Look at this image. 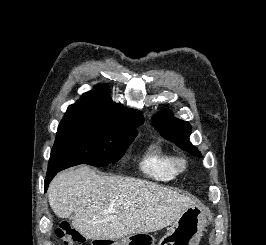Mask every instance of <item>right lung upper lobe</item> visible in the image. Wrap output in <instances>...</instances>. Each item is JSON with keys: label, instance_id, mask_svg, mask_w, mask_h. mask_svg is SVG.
<instances>
[{"label": "right lung upper lobe", "instance_id": "right-lung-upper-lobe-1", "mask_svg": "<svg viewBox=\"0 0 266 245\" xmlns=\"http://www.w3.org/2000/svg\"><path fill=\"white\" fill-rule=\"evenodd\" d=\"M96 91L85 93L75 104L69 106L64 117L68 116H96L110 121L127 124L141 125L144 122L141 112L126 110L122 105L112 101L107 85H97Z\"/></svg>", "mask_w": 266, "mask_h": 245}]
</instances>
